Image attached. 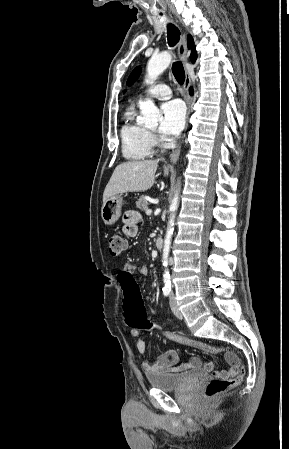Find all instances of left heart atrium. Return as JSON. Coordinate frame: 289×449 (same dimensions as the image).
Returning <instances> with one entry per match:
<instances>
[{
	"label": "left heart atrium",
	"mask_w": 289,
	"mask_h": 449,
	"mask_svg": "<svg viewBox=\"0 0 289 449\" xmlns=\"http://www.w3.org/2000/svg\"><path fill=\"white\" fill-rule=\"evenodd\" d=\"M160 132L165 140H172L185 124V107L179 100H171L161 106Z\"/></svg>",
	"instance_id": "39dd6f15"
}]
</instances>
